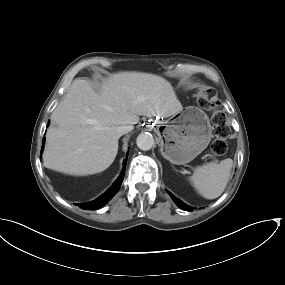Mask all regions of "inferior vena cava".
<instances>
[{
    "mask_svg": "<svg viewBox=\"0 0 285 285\" xmlns=\"http://www.w3.org/2000/svg\"><path fill=\"white\" fill-rule=\"evenodd\" d=\"M133 130V126L130 124H125L117 127L116 132L119 134V136H122L130 131Z\"/></svg>",
    "mask_w": 285,
    "mask_h": 285,
    "instance_id": "inferior-vena-cava-1",
    "label": "inferior vena cava"
}]
</instances>
